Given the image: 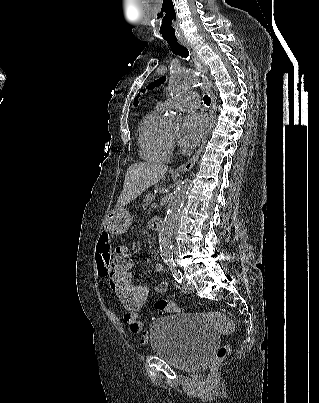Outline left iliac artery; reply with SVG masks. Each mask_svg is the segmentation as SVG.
Listing matches in <instances>:
<instances>
[{
    "label": "left iliac artery",
    "mask_w": 319,
    "mask_h": 403,
    "mask_svg": "<svg viewBox=\"0 0 319 403\" xmlns=\"http://www.w3.org/2000/svg\"><path fill=\"white\" fill-rule=\"evenodd\" d=\"M168 267L174 277V280L177 283L181 284L182 280H183V276H182L181 271L177 268L176 264L174 262H170V263H168Z\"/></svg>",
    "instance_id": "left-iliac-artery-1"
}]
</instances>
